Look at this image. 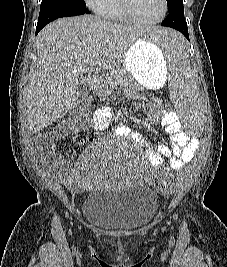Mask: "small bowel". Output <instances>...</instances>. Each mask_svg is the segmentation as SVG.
<instances>
[{
    "instance_id": "c3829d8e",
    "label": "small bowel",
    "mask_w": 227,
    "mask_h": 267,
    "mask_svg": "<svg viewBox=\"0 0 227 267\" xmlns=\"http://www.w3.org/2000/svg\"><path fill=\"white\" fill-rule=\"evenodd\" d=\"M149 119L154 123L163 126L171 136L172 146L160 144L158 146L152 144L142 135L131 132L128 128L120 125L116 127V134L119 136H127L140 141L144 146L149 162L158 167L160 173H165V169L172 171L179 170L185 162H189L194 153L200 146L199 139L196 137H188L182 130L181 124L174 111L171 109H163L158 100H150ZM111 110L108 107L98 108L92 118V127L97 132H104L108 129L111 118ZM76 127H68L65 134L77 132ZM89 143V139L80 141L81 145ZM61 171L66 179L72 185L85 187L90 179L87 172L86 164L81 163L75 167L62 163Z\"/></svg>"
}]
</instances>
